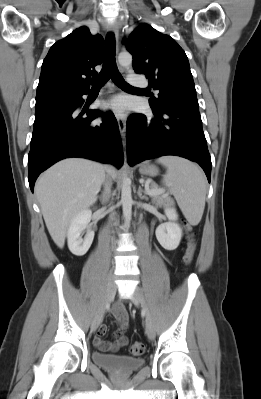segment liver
I'll use <instances>...</instances> for the list:
<instances>
[{
    "label": "liver",
    "instance_id": "1",
    "mask_svg": "<svg viewBox=\"0 0 261 399\" xmlns=\"http://www.w3.org/2000/svg\"><path fill=\"white\" fill-rule=\"evenodd\" d=\"M106 173L116 177L111 166L70 158L56 163L39 177L35 194L47 229L59 248L64 247L72 218L95 203Z\"/></svg>",
    "mask_w": 261,
    "mask_h": 399
}]
</instances>
